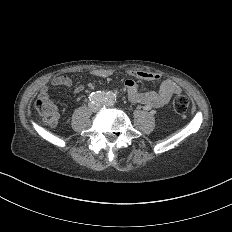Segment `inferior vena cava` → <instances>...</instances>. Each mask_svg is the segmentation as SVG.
Listing matches in <instances>:
<instances>
[{"mask_svg":"<svg viewBox=\"0 0 232 232\" xmlns=\"http://www.w3.org/2000/svg\"><path fill=\"white\" fill-rule=\"evenodd\" d=\"M89 106L92 108V111H98L99 109H101L100 104H92V102H90Z\"/></svg>","mask_w":232,"mask_h":232,"instance_id":"602c4592","label":"inferior vena cava"}]
</instances>
